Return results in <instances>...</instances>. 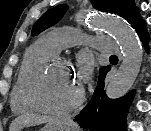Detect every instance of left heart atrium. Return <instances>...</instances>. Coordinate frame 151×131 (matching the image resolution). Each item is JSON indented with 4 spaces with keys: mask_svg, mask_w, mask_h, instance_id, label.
Instances as JSON below:
<instances>
[{
    "mask_svg": "<svg viewBox=\"0 0 151 131\" xmlns=\"http://www.w3.org/2000/svg\"><path fill=\"white\" fill-rule=\"evenodd\" d=\"M92 68L88 60H82L80 63L78 79L80 82H84L91 76Z\"/></svg>",
    "mask_w": 151,
    "mask_h": 131,
    "instance_id": "39dd6f15",
    "label": "left heart atrium"
}]
</instances>
